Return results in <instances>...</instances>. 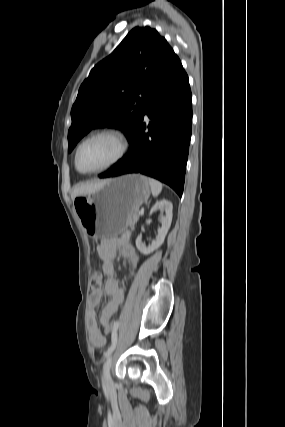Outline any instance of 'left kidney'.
<instances>
[{
    "label": "left kidney",
    "mask_w": 285,
    "mask_h": 427,
    "mask_svg": "<svg viewBox=\"0 0 285 427\" xmlns=\"http://www.w3.org/2000/svg\"><path fill=\"white\" fill-rule=\"evenodd\" d=\"M158 209L165 211V218L162 220L161 228L158 229V234L152 241L151 245L146 247L142 242L141 236H138L136 239V247L144 255H149L162 245L171 225L173 209L172 203L168 200H161L152 207L150 214Z\"/></svg>",
    "instance_id": "obj_1"
}]
</instances>
